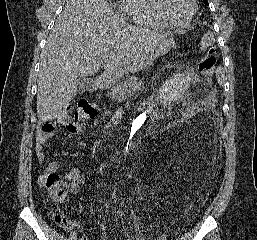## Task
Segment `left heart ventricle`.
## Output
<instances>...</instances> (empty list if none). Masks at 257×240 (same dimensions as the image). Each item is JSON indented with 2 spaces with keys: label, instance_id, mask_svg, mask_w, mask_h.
<instances>
[{
  "label": "left heart ventricle",
  "instance_id": "left-heart-ventricle-1",
  "mask_svg": "<svg viewBox=\"0 0 257 240\" xmlns=\"http://www.w3.org/2000/svg\"><path fill=\"white\" fill-rule=\"evenodd\" d=\"M161 5L165 16L175 23L185 21L192 9L190 0H162Z\"/></svg>",
  "mask_w": 257,
  "mask_h": 240
}]
</instances>
